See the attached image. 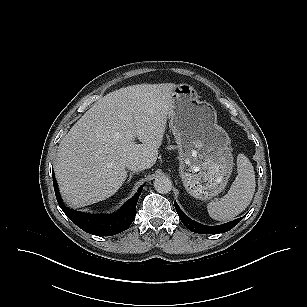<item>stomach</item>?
<instances>
[{
    "label": "stomach",
    "instance_id": "1",
    "mask_svg": "<svg viewBox=\"0 0 307 307\" xmlns=\"http://www.w3.org/2000/svg\"><path fill=\"white\" fill-rule=\"evenodd\" d=\"M169 116L185 189L197 199H211L225 189L234 165L216 110L192 86L180 84L172 92Z\"/></svg>",
    "mask_w": 307,
    "mask_h": 307
}]
</instances>
